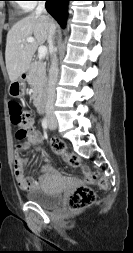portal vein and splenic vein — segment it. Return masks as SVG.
Returning <instances> with one entry per match:
<instances>
[{"label":"portal vein and splenic vein","mask_w":133,"mask_h":253,"mask_svg":"<svg viewBox=\"0 0 133 253\" xmlns=\"http://www.w3.org/2000/svg\"><path fill=\"white\" fill-rule=\"evenodd\" d=\"M34 40L35 39L33 37H28L26 39L27 42H34ZM46 54H47V48L45 46H40L39 49H38L39 59H43Z\"/></svg>","instance_id":"18ae733b"}]
</instances>
